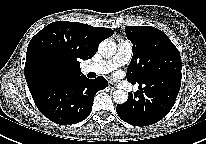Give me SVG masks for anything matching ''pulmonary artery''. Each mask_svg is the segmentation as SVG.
I'll return each mask as SVG.
<instances>
[{"instance_id": "e3ab8cb5", "label": "pulmonary artery", "mask_w": 206, "mask_h": 144, "mask_svg": "<svg viewBox=\"0 0 206 144\" xmlns=\"http://www.w3.org/2000/svg\"><path fill=\"white\" fill-rule=\"evenodd\" d=\"M133 55L132 44L128 40H122L118 43L116 54L100 62L88 65L86 72H94L96 74H107L118 67L128 63Z\"/></svg>"}]
</instances>
